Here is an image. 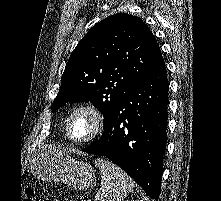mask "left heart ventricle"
Wrapping results in <instances>:
<instances>
[{
    "label": "left heart ventricle",
    "instance_id": "obj_1",
    "mask_svg": "<svg viewBox=\"0 0 221 201\" xmlns=\"http://www.w3.org/2000/svg\"><path fill=\"white\" fill-rule=\"evenodd\" d=\"M93 128V121L86 114L76 115L71 123V134L75 138H84L88 136Z\"/></svg>",
    "mask_w": 221,
    "mask_h": 201
}]
</instances>
